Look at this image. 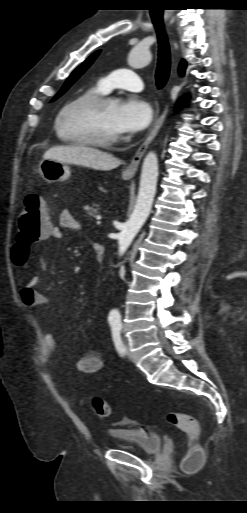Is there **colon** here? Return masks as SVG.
<instances>
[{
	"label": "colon",
	"mask_w": 247,
	"mask_h": 513,
	"mask_svg": "<svg viewBox=\"0 0 247 513\" xmlns=\"http://www.w3.org/2000/svg\"><path fill=\"white\" fill-rule=\"evenodd\" d=\"M51 227L50 212L43 196L38 193L27 195L19 216L16 241L12 248V260L15 265L21 266L27 262L31 247L44 239ZM91 406L93 412L99 417H107L110 413L107 402L102 398H94ZM166 421L187 435L188 451L182 465L188 472L196 471L204 460V453L197 444L200 436L198 422L188 414L177 412L167 413Z\"/></svg>",
	"instance_id": "obj_1"
}]
</instances>
